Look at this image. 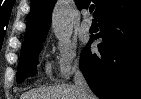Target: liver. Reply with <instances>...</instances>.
<instances>
[{
    "mask_svg": "<svg viewBox=\"0 0 141 99\" xmlns=\"http://www.w3.org/2000/svg\"><path fill=\"white\" fill-rule=\"evenodd\" d=\"M20 99H80L75 85L44 86L23 93Z\"/></svg>",
    "mask_w": 141,
    "mask_h": 99,
    "instance_id": "1",
    "label": "liver"
}]
</instances>
